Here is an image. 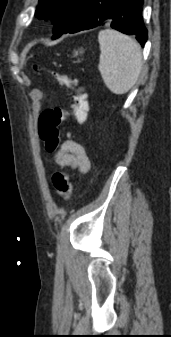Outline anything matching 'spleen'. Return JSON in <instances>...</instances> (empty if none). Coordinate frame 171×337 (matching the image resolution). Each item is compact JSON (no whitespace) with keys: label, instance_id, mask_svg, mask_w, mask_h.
I'll list each match as a JSON object with an SVG mask.
<instances>
[{"label":"spleen","instance_id":"1","mask_svg":"<svg viewBox=\"0 0 171 337\" xmlns=\"http://www.w3.org/2000/svg\"><path fill=\"white\" fill-rule=\"evenodd\" d=\"M98 42V69L105 85L116 95L127 93L138 80L143 64L139 44L113 29L101 30Z\"/></svg>","mask_w":171,"mask_h":337}]
</instances>
